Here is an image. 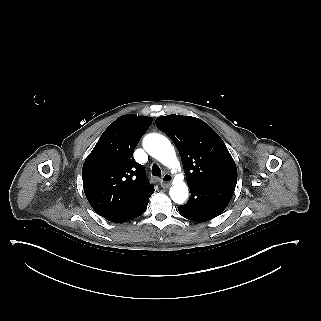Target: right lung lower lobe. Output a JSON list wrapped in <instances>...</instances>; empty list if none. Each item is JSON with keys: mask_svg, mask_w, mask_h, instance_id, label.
Segmentation results:
<instances>
[{"mask_svg": "<svg viewBox=\"0 0 321 321\" xmlns=\"http://www.w3.org/2000/svg\"><path fill=\"white\" fill-rule=\"evenodd\" d=\"M151 195L152 193L142 198L136 204L129 206L119 212L107 215L104 218L114 223H123L129 220H133L145 212Z\"/></svg>", "mask_w": 321, "mask_h": 321, "instance_id": "obj_1", "label": "right lung lower lobe"}]
</instances>
